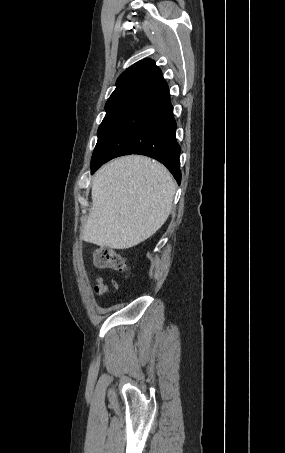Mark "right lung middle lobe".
Instances as JSON below:
<instances>
[{"instance_id": "dd1d6c3e", "label": "right lung middle lobe", "mask_w": 285, "mask_h": 453, "mask_svg": "<svg viewBox=\"0 0 285 453\" xmlns=\"http://www.w3.org/2000/svg\"><path fill=\"white\" fill-rule=\"evenodd\" d=\"M125 100H126V98H119V99L107 101V103L105 105L106 115H105L101 125L98 128V141H97V144L94 149L92 157L94 156V154L102 140V137L104 136L105 132L107 131L112 119L114 118L115 114L117 113L119 108L122 106V104L125 102Z\"/></svg>"}]
</instances>
